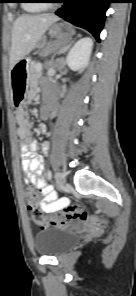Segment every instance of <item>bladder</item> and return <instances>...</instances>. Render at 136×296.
<instances>
[{
    "label": "bladder",
    "instance_id": "obj_1",
    "mask_svg": "<svg viewBox=\"0 0 136 296\" xmlns=\"http://www.w3.org/2000/svg\"><path fill=\"white\" fill-rule=\"evenodd\" d=\"M78 239V234L65 227L53 226L35 234V249L45 256H59L70 249Z\"/></svg>",
    "mask_w": 136,
    "mask_h": 296
}]
</instances>
